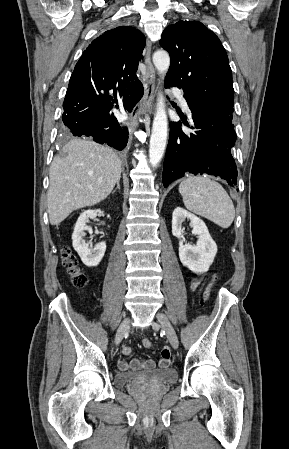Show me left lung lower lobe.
Listing matches in <instances>:
<instances>
[{
	"label": "left lung lower lobe",
	"instance_id": "0a47b994",
	"mask_svg": "<svg viewBox=\"0 0 289 449\" xmlns=\"http://www.w3.org/2000/svg\"><path fill=\"white\" fill-rule=\"evenodd\" d=\"M178 86L166 81V87ZM184 98L192 112L190 123L182 119L192 132L185 133L181 122H172L164 160L163 184L186 174H208L220 177L230 186L237 184V169L231 150L236 142L232 120L204 109L184 91Z\"/></svg>",
	"mask_w": 289,
	"mask_h": 449
}]
</instances>
